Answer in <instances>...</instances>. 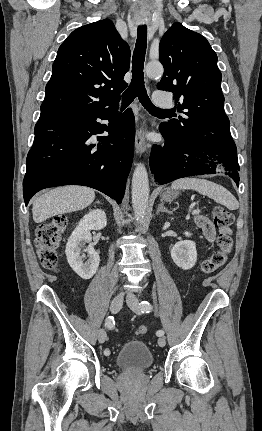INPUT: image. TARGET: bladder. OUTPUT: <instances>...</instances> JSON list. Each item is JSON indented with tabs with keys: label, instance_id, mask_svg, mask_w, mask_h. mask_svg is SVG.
I'll return each mask as SVG.
<instances>
[{
	"label": "bladder",
	"instance_id": "31cf9c89",
	"mask_svg": "<svg viewBox=\"0 0 262 431\" xmlns=\"http://www.w3.org/2000/svg\"><path fill=\"white\" fill-rule=\"evenodd\" d=\"M153 362L148 346L142 340L125 343L116 354V363L126 371H141Z\"/></svg>",
	"mask_w": 262,
	"mask_h": 431
}]
</instances>
